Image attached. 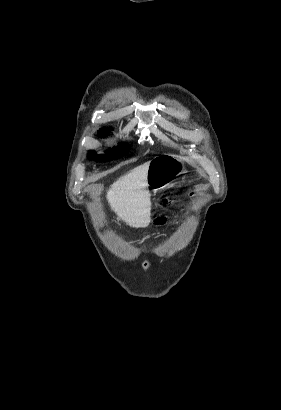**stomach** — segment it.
<instances>
[{"label": "stomach", "mask_w": 281, "mask_h": 410, "mask_svg": "<svg viewBox=\"0 0 281 410\" xmlns=\"http://www.w3.org/2000/svg\"><path fill=\"white\" fill-rule=\"evenodd\" d=\"M185 161L179 156L164 154L149 162L147 185L153 190L167 187L171 180L184 172Z\"/></svg>", "instance_id": "stomach-1"}]
</instances>
